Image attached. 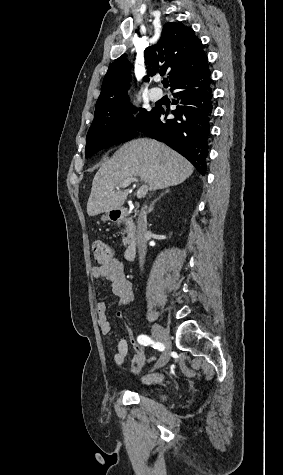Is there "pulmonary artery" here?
<instances>
[{
  "instance_id": "e3ab8cb5",
  "label": "pulmonary artery",
  "mask_w": 283,
  "mask_h": 475,
  "mask_svg": "<svg viewBox=\"0 0 283 475\" xmlns=\"http://www.w3.org/2000/svg\"><path fill=\"white\" fill-rule=\"evenodd\" d=\"M150 93L152 96H161L163 93V90L161 87H152L150 90Z\"/></svg>"
}]
</instances>
